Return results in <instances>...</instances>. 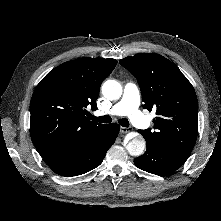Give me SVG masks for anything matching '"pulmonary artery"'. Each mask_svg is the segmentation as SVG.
<instances>
[{
	"label": "pulmonary artery",
	"instance_id": "obj_1",
	"mask_svg": "<svg viewBox=\"0 0 221 221\" xmlns=\"http://www.w3.org/2000/svg\"><path fill=\"white\" fill-rule=\"evenodd\" d=\"M139 104L140 91L138 86L133 82H127L124 85L121 100L113 105L110 109L101 111L98 114L112 116L126 115L134 125L140 128H147L149 121L139 110Z\"/></svg>",
	"mask_w": 221,
	"mask_h": 221
}]
</instances>
